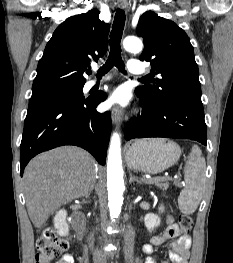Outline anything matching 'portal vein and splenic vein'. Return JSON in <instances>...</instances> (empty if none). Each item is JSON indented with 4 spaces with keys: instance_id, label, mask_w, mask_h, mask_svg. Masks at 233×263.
I'll list each match as a JSON object with an SVG mask.
<instances>
[{
    "instance_id": "obj_1",
    "label": "portal vein and splenic vein",
    "mask_w": 233,
    "mask_h": 263,
    "mask_svg": "<svg viewBox=\"0 0 233 263\" xmlns=\"http://www.w3.org/2000/svg\"><path fill=\"white\" fill-rule=\"evenodd\" d=\"M147 180L164 181V180H166V178L165 177H154V178H148Z\"/></svg>"
}]
</instances>
